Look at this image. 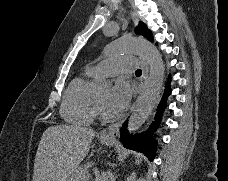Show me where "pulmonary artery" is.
Here are the masks:
<instances>
[{
	"mask_svg": "<svg viewBox=\"0 0 228 181\" xmlns=\"http://www.w3.org/2000/svg\"><path fill=\"white\" fill-rule=\"evenodd\" d=\"M136 57H118V58H105L108 65H102V70L99 72L101 75H109L110 71H137L139 63L136 62ZM92 70H97V65L91 66Z\"/></svg>",
	"mask_w": 228,
	"mask_h": 181,
	"instance_id": "1",
	"label": "pulmonary artery"
}]
</instances>
